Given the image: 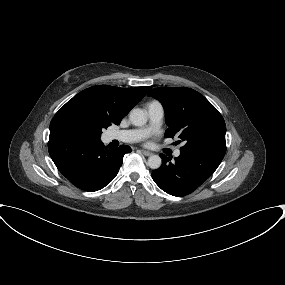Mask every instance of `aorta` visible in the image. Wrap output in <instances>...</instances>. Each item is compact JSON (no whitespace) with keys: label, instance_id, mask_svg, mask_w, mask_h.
<instances>
[{"label":"aorta","instance_id":"762f6f07","mask_svg":"<svg viewBox=\"0 0 285 285\" xmlns=\"http://www.w3.org/2000/svg\"><path fill=\"white\" fill-rule=\"evenodd\" d=\"M130 122L135 126H143L147 122V114L142 109H133L129 115ZM162 160L159 155H151L148 158V166L151 169H158Z\"/></svg>","mask_w":285,"mask_h":285}]
</instances>
